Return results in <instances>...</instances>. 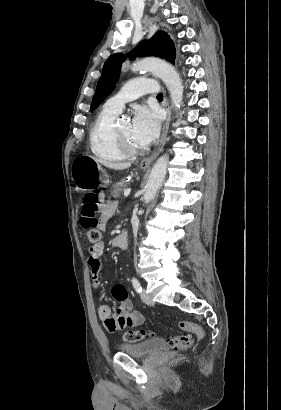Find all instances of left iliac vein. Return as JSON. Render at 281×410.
Here are the masks:
<instances>
[{"mask_svg":"<svg viewBox=\"0 0 281 410\" xmlns=\"http://www.w3.org/2000/svg\"><path fill=\"white\" fill-rule=\"evenodd\" d=\"M142 301L147 305H154V301L152 300L151 296L143 290L140 294Z\"/></svg>","mask_w":281,"mask_h":410,"instance_id":"obj_1","label":"left iliac vein"}]
</instances>
